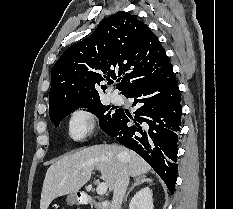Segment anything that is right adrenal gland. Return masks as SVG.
Returning a JSON list of instances; mask_svg holds the SVG:
<instances>
[{"instance_id":"2a0ac1e0","label":"right adrenal gland","mask_w":233,"mask_h":209,"mask_svg":"<svg viewBox=\"0 0 233 209\" xmlns=\"http://www.w3.org/2000/svg\"><path fill=\"white\" fill-rule=\"evenodd\" d=\"M134 180H135L134 184L129 188V190L127 191V193H126V195H125L124 202L127 201L130 192H131L136 186H138V185H140V184H142V183H144V182L152 183V179L147 178L145 175H141V176L135 177Z\"/></svg>"}]
</instances>
